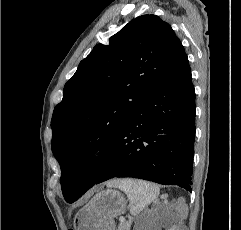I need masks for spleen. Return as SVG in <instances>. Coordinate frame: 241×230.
<instances>
[{"label": "spleen", "mask_w": 241, "mask_h": 230, "mask_svg": "<svg viewBox=\"0 0 241 230\" xmlns=\"http://www.w3.org/2000/svg\"><path fill=\"white\" fill-rule=\"evenodd\" d=\"M107 186L124 191L129 200L130 213L134 216L139 215L159 195V187L157 185L142 180H113L108 182Z\"/></svg>", "instance_id": "3e777b00"}]
</instances>
